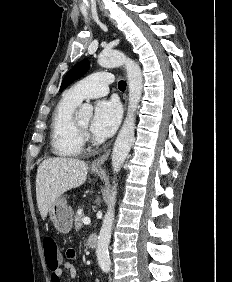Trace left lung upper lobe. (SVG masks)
I'll use <instances>...</instances> for the list:
<instances>
[{"label":"left lung upper lobe","instance_id":"1","mask_svg":"<svg viewBox=\"0 0 232 282\" xmlns=\"http://www.w3.org/2000/svg\"><path fill=\"white\" fill-rule=\"evenodd\" d=\"M88 68L89 61L87 59H84L83 61L77 63L64 77L60 91L65 89L76 79L82 77L88 71Z\"/></svg>","mask_w":232,"mask_h":282}]
</instances>
